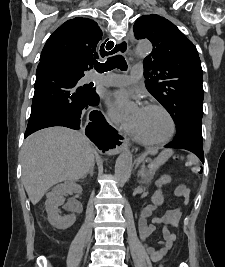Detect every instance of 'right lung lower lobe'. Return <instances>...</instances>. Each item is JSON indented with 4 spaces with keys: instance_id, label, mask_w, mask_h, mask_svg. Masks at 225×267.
Returning a JSON list of instances; mask_svg holds the SVG:
<instances>
[{
    "instance_id": "98d812e1",
    "label": "right lung lower lobe",
    "mask_w": 225,
    "mask_h": 267,
    "mask_svg": "<svg viewBox=\"0 0 225 267\" xmlns=\"http://www.w3.org/2000/svg\"><path fill=\"white\" fill-rule=\"evenodd\" d=\"M83 76L84 73L63 62L48 59L40 61L25 138L51 126L80 129L82 110L91 109L99 102L78 84ZM90 120L92 122L86 126L85 132L90 140L104 151L113 148L118 142L116 131L96 110L90 113Z\"/></svg>"
}]
</instances>
